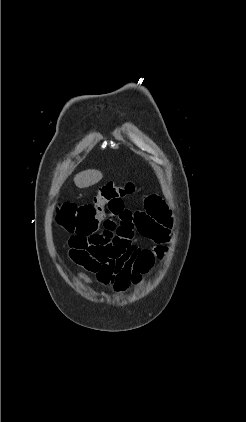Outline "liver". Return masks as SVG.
<instances>
[{"instance_id": "liver-1", "label": "liver", "mask_w": 246, "mask_h": 422, "mask_svg": "<svg viewBox=\"0 0 246 422\" xmlns=\"http://www.w3.org/2000/svg\"><path fill=\"white\" fill-rule=\"evenodd\" d=\"M103 175L98 170H86L74 177V183L78 188H87L98 183Z\"/></svg>"}]
</instances>
